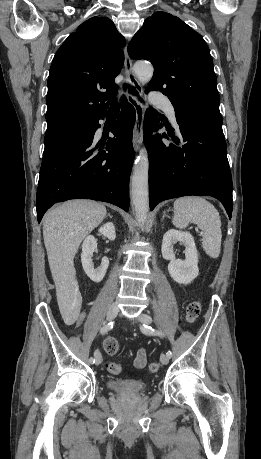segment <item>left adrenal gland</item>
<instances>
[{"instance_id": "obj_1", "label": "left adrenal gland", "mask_w": 261, "mask_h": 459, "mask_svg": "<svg viewBox=\"0 0 261 459\" xmlns=\"http://www.w3.org/2000/svg\"><path fill=\"white\" fill-rule=\"evenodd\" d=\"M165 217H168V218H169V216L166 215V212H164V215H163V217H162V221L164 220Z\"/></svg>"}]
</instances>
